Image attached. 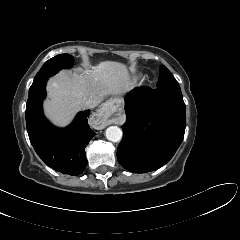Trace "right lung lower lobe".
<instances>
[{
    "mask_svg": "<svg viewBox=\"0 0 240 240\" xmlns=\"http://www.w3.org/2000/svg\"><path fill=\"white\" fill-rule=\"evenodd\" d=\"M47 80L29 90L26 105L29 139L45 164L58 172L76 176L81 174L87 165L85 147L95 135L87 122L90 110L80 112L67 128L52 126L42 112Z\"/></svg>",
    "mask_w": 240,
    "mask_h": 240,
    "instance_id": "obj_1",
    "label": "right lung lower lobe"
}]
</instances>
